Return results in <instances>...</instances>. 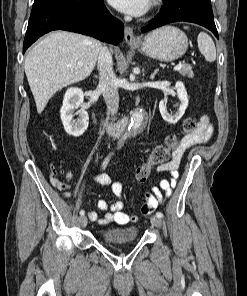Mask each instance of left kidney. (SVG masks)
<instances>
[{
    "label": "left kidney",
    "mask_w": 247,
    "mask_h": 296,
    "mask_svg": "<svg viewBox=\"0 0 247 296\" xmlns=\"http://www.w3.org/2000/svg\"><path fill=\"white\" fill-rule=\"evenodd\" d=\"M175 88L177 91L176 92L177 97L180 101L179 109L176 111V113L170 115L167 112V107H166L167 100L166 99L160 101V103H159V110H160L162 118L170 124L177 123L178 120L184 115L185 110L188 107V95H187V91H186L183 83L177 82Z\"/></svg>",
    "instance_id": "5707ae66"
}]
</instances>
